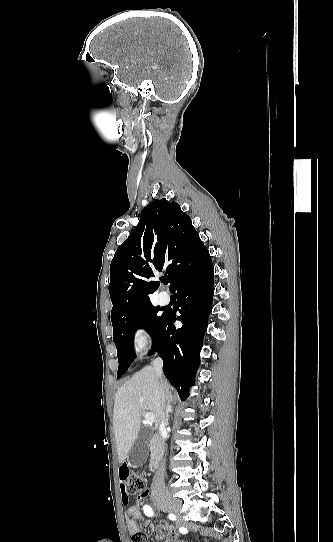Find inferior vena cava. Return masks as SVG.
Here are the masks:
<instances>
[{"instance_id":"1","label":"inferior vena cava","mask_w":333,"mask_h":542,"mask_svg":"<svg viewBox=\"0 0 333 542\" xmlns=\"http://www.w3.org/2000/svg\"><path fill=\"white\" fill-rule=\"evenodd\" d=\"M153 368L155 370V372H157V374H159V376H162L163 372V360H161V358H156V360H154L153 362ZM160 386H164L162 380L160 382ZM167 412V410H166ZM166 412L165 414H162V420H161V426H163V428H165V426H167V422H166ZM164 468H165V460H163V462H161L153 480H152V484H151V488H152V492H157V490H159V488H163V486H165V482H164Z\"/></svg>"}]
</instances>
